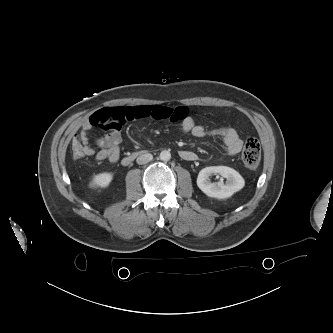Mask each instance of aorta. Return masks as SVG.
Returning <instances> with one entry per match:
<instances>
[{"instance_id": "obj_1", "label": "aorta", "mask_w": 333, "mask_h": 333, "mask_svg": "<svg viewBox=\"0 0 333 333\" xmlns=\"http://www.w3.org/2000/svg\"><path fill=\"white\" fill-rule=\"evenodd\" d=\"M160 159L162 161H169L171 159V154L168 150H163L160 153Z\"/></svg>"}]
</instances>
